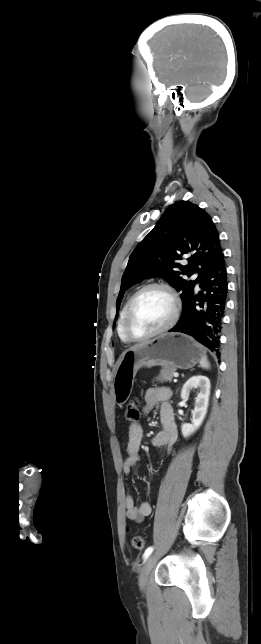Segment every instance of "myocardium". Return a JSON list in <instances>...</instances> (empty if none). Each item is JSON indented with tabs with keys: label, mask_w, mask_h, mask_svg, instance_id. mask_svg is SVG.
I'll return each mask as SVG.
<instances>
[{
	"label": "myocardium",
	"mask_w": 261,
	"mask_h": 644,
	"mask_svg": "<svg viewBox=\"0 0 261 644\" xmlns=\"http://www.w3.org/2000/svg\"><path fill=\"white\" fill-rule=\"evenodd\" d=\"M153 288L161 289V290L165 291L169 295V297L171 298L172 307H173L172 315H171L170 319L168 320V322L164 326H162L161 328H159V329H157V330H155V331H153V332H151V333H149L147 335H144V336H136L131 332L130 326H129L130 318H131V314H132L134 305H135L137 299L145 291H147L149 289H153ZM180 311H181L180 299H179L177 293L174 291V289L172 287H170L168 284L163 283V282H151V283L145 284L141 288H139L132 295V297L130 298V300L128 302V305H127V308H126V311H125V314H124V318H123V332H124L126 338L128 340H130L131 342L147 341V340H149L151 338L159 336V335L169 331L170 329H172L175 326V324L177 323L178 319H179Z\"/></svg>",
	"instance_id": "obj_1"
}]
</instances>
